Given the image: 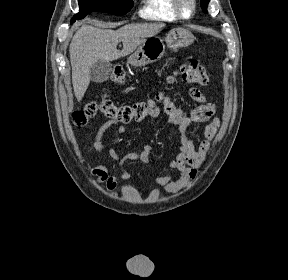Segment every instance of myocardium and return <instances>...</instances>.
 <instances>
[{
  "label": "myocardium",
  "instance_id": "f54148a6",
  "mask_svg": "<svg viewBox=\"0 0 288 280\" xmlns=\"http://www.w3.org/2000/svg\"><path fill=\"white\" fill-rule=\"evenodd\" d=\"M172 2L175 13L179 18L188 20L195 15L197 8L196 0H172ZM185 3L189 6L188 13H185L183 9Z\"/></svg>",
  "mask_w": 288,
  "mask_h": 280
}]
</instances>
